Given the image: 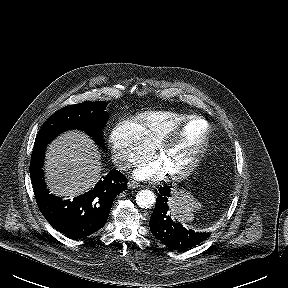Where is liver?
<instances>
[{
  "label": "liver",
  "instance_id": "liver-1",
  "mask_svg": "<svg viewBox=\"0 0 288 288\" xmlns=\"http://www.w3.org/2000/svg\"><path fill=\"white\" fill-rule=\"evenodd\" d=\"M101 155L93 141L79 131L61 134L48 147L45 177L57 196H78L95 186L100 177Z\"/></svg>",
  "mask_w": 288,
  "mask_h": 288
}]
</instances>
